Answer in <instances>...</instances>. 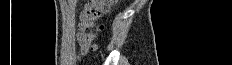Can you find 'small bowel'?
Returning a JSON list of instances; mask_svg holds the SVG:
<instances>
[{
	"label": "small bowel",
	"mask_w": 232,
	"mask_h": 65,
	"mask_svg": "<svg viewBox=\"0 0 232 65\" xmlns=\"http://www.w3.org/2000/svg\"><path fill=\"white\" fill-rule=\"evenodd\" d=\"M77 39L80 44L81 51L85 53L89 49L90 43L83 23L80 25V32L77 35Z\"/></svg>",
	"instance_id": "1"
}]
</instances>
